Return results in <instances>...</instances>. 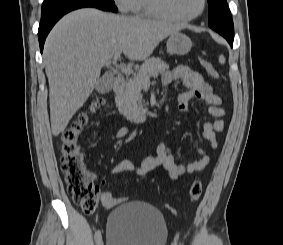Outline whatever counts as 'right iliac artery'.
Masks as SVG:
<instances>
[{"label": "right iliac artery", "instance_id": "obj_1", "mask_svg": "<svg viewBox=\"0 0 283 245\" xmlns=\"http://www.w3.org/2000/svg\"><path fill=\"white\" fill-rule=\"evenodd\" d=\"M100 240H101V231L97 230L95 232V241H96V243H98Z\"/></svg>", "mask_w": 283, "mask_h": 245}]
</instances>
